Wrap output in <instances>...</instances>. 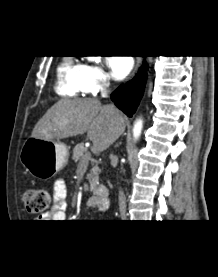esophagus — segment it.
Returning a JSON list of instances; mask_svg holds the SVG:
<instances>
[{"label":"esophagus","instance_id":"34e87169","mask_svg":"<svg viewBox=\"0 0 218 277\" xmlns=\"http://www.w3.org/2000/svg\"><path fill=\"white\" fill-rule=\"evenodd\" d=\"M141 62H142V58L141 57H137L136 58V64H135V68L132 72V75L138 70V68L140 67L141 65Z\"/></svg>","mask_w":218,"mask_h":277}]
</instances>
